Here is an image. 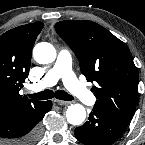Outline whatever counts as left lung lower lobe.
Returning <instances> with one entry per match:
<instances>
[{"mask_svg":"<svg viewBox=\"0 0 145 145\" xmlns=\"http://www.w3.org/2000/svg\"><path fill=\"white\" fill-rule=\"evenodd\" d=\"M128 122L93 108L89 121L75 129L76 138L85 145H111L124 133Z\"/></svg>","mask_w":145,"mask_h":145,"instance_id":"left-lung-lower-lobe-1","label":"left lung lower lobe"}]
</instances>
